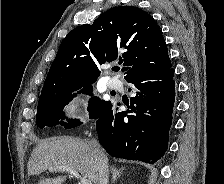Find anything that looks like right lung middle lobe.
I'll return each mask as SVG.
<instances>
[{
    "label": "right lung middle lobe",
    "instance_id": "right-lung-middle-lobe-1",
    "mask_svg": "<svg viewBox=\"0 0 224 184\" xmlns=\"http://www.w3.org/2000/svg\"><path fill=\"white\" fill-rule=\"evenodd\" d=\"M92 83H78L71 85L51 96H48L44 99L39 100L37 115H36V124L40 128L45 126H55L58 124L59 119H64L65 115L62 112L63 108L76 96V93L72 95V92L80 89L78 93L82 92L84 94L92 95ZM108 102L101 100L99 97H92L89 101L88 111L91 119H97L100 112ZM61 125H64L65 128H73L81 125V122L77 119H71L68 123L63 121L60 122Z\"/></svg>",
    "mask_w": 224,
    "mask_h": 184
}]
</instances>
